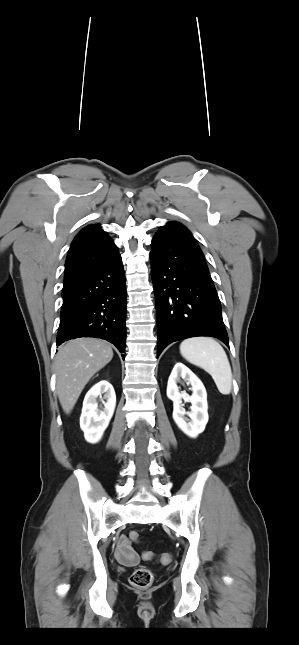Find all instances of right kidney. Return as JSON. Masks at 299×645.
I'll list each match as a JSON object with an SVG mask.
<instances>
[{
    "label": "right kidney",
    "mask_w": 299,
    "mask_h": 645,
    "mask_svg": "<svg viewBox=\"0 0 299 645\" xmlns=\"http://www.w3.org/2000/svg\"><path fill=\"white\" fill-rule=\"evenodd\" d=\"M102 394H104L103 399ZM98 397L101 398L104 407L98 406ZM115 405L114 388L105 380L98 382L87 392L80 417V427L86 441L89 443L100 441L113 416Z\"/></svg>",
    "instance_id": "1"
}]
</instances>
